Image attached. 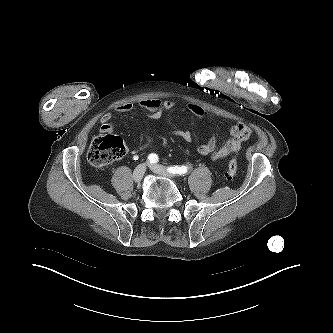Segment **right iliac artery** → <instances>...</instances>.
<instances>
[{"mask_svg": "<svg viewBox=\"0 0 333 333\" xmlns=\"http://www.w3.org/2000/svg\"><path fill=\"white\" fill-rule=\"evenodd\" d=\"M148 160L150 161V163H156L158 162V156L152 153L148 156Z\"/></svg>", "mask_w": 333, "mask_h": 333, "instance_id": "obj_1", "label": "right iliac artery"}]
</instances>
